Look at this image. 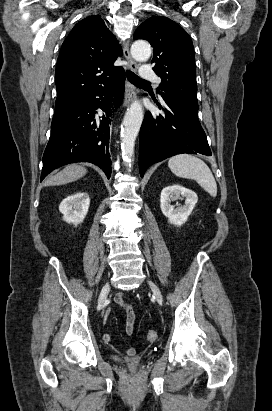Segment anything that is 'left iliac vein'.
<instances>
[{"mask_svg":"<svg viewBox=\"0 0 272 411\" xmlns=\"http://www.w3.org/2000/svg\"><path fill=\"white\" fill-rule=\"evenodd\" d=\"M148 284H149L154 296L156 297L157 301L159 303H162L163 302V297H162V294H161L159 288L150 280H148Z\"/></svg>","mask_w":272,"mask_h":411,"instance_id":"1","label":"left iliac vein"}]
</instances>
